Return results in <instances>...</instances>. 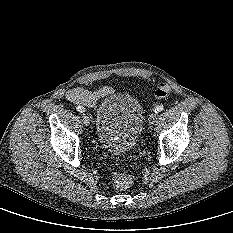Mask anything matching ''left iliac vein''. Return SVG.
I'll use <instances>...</instances> for the list:
<instances>
[{"instance_id": "4c4485c4", "label": "left iliac vein", "mask_w": 233, "mask_h": 233, "mask_svg": "<svg viewBox=\"0 0 233 233\" xmlns=\"http://www.w3.org/2000/svg\"><path fill=\"white\" fill-rule=\"evenodd\" d=\"M156 117H157V114L155 112L152 113L148 119L149 124H153L156 120Z\"/></svg>"}]
</instances>
